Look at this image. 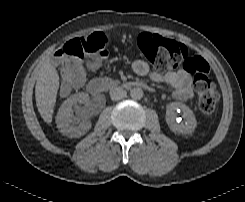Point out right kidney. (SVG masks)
I'll list each match as a JSON object with an SVG mask.
<instances>
[{
	"label": "right kidney",
	"mask_w": 245,
	"mask_h": 202,
	"mask_svg": "<svg viewBox=\"0 0 245 202\" xmlns=\"http://www.w3.org/2000/svg\"><path fill=\"white\" fill-rule=\"evenodd\" d=\"M88 102L89 96L86 93L74 94L63 102L56 116L57 127L63 135L80 137L89 131L91 123L86 120L82 108L77 106Z\"/></svg>",
	"instance_id": "right-kidney-1"
}]
</instances>
